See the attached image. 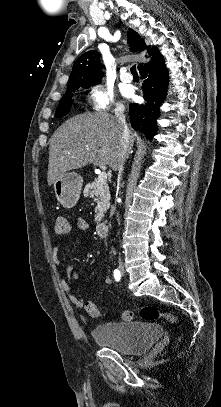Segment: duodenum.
Returning <instances> with one entry per match:
<instances>
[{
    "label": "duodenum",
    "instance_id": "obj_1",
    "mask_svg": "<svg viewBox=\"0 0 221 407\" xmlns=\"http://www.w3.org/2000/svg\"><path fill=\"white\" fill-rule=\"evenodd\" d=\"M109 229H110V226L107 223H99L96 227L97 234L99 236H103V237L108 234Z\"/></svg>",
    "mask_w": 221,
    "mask_h": 407
}]
</instances>
